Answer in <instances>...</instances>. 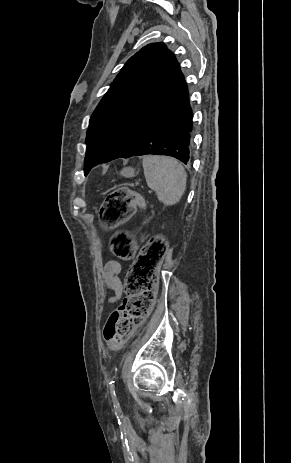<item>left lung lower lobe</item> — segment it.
Listing matches in <instances>:
<instances>
[{
	"instance_id": "obj_1",
	"label": "left lung lower lobe",
	"mask_w": 291,
	"mask_h": 463,
	"mask_svg": "<svg viewBox=\"0 0 291 463\" xmlns=\"http://www.w3.org/2000/svg\"><path fill=\"white\" fill-rule=\"evenodd\" d=\"M191 132L192 110L186 88L172 109L145 134L134 148L122 156L108 160L101 159L94 166L120 157L129 158L142 155L172 156L184 164H189L191 161Z\"/></svg>"
}]
</instances>
